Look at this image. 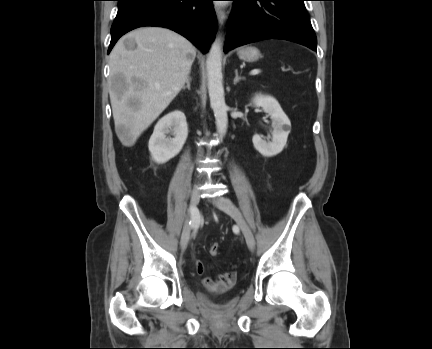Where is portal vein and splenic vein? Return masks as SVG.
<instances>
[{"mask_svg":"<svg viewBox=\"0 0 432 349\" xmlns=\"http://www.w3.org/2000/svg\"><path fill=\"white\" fill-rule=\"evenodd\" d=\"M260 72H261L260 69H253L250 74L251 75H256V74H259Z\"/></svg>","mask_w":432,"mask_h":349,"instance_id":"18ae733b","label":"portal vein and splenic vein"}]
</instances>
